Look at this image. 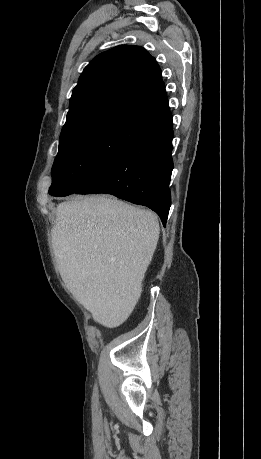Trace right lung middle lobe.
I'll list each match as a JSON object with an SVG mask.
<instances>
[{"instance_id": "right-lung-middle-lobe-1", "label": "right lung middle lobe", "mask_w": 261, "mask_h": 459, "mask_svg": "<svg viewBox=\"0 0 261 459\" xmlns=\"http://www.w3.org/2000/svg\"><path fill=\"white\" fill-rule=\"evenodd\" d=\"M151 126L114 122L60 140L49 194H72L131 148Z\"/></svg>"}]
</instances>
